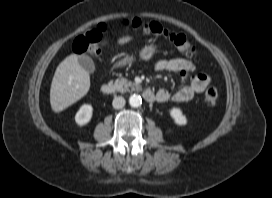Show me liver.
Listing matches in <instances>:
<instances>
[{
	"mask_svg": "<svg viewBox=\"0 0 272 198\" xmlns=\"http://www.w3.org/2000/svg\"><path fill=\"white\" fill-rule=\"evenodd\" d=\"M131 36L118 39L123 45ZM90 88L89 73L79 64L75 54L66 57L57 67L50 88V104L54 112H61L84 97Z\"/></svg>",
	"mask_w": 272,
	"mask_h": 198,
	"instance_id": "liver-1",
	"label": "liver"
}]
</instances>
